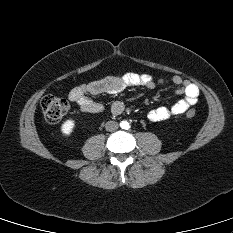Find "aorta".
I'll return each instance as SVG.
<instances>
[{"instance_id":"aorta-1","label":"aorta","mask_w":233,"mask_h":233,"mask_svg":"<svg viewBox=\"0 0 233 233\" xmlns=\"http://www.w3.org/2000/svg\"><path fill=\"white\" fill-rule=\"evenodd\" d=\"M122 129H128L129 128V123L127 121H122L120 124Z\"/></svg>"}]
</instances>
